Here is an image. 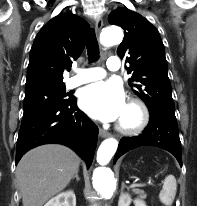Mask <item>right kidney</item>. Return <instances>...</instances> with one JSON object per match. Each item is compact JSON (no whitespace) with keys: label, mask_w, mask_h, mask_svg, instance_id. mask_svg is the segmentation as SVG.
I'll return each instance as SVG.
<instances>
[{"label":"right kidney","mask_w":197,"mask_h":206,"mask_svg":"<svg viewBox=\"0 0 197 206\" xmlns=\"http://www.w3.org/2000/svg\"><path fill=\"white\" fill-rule=\"evenodd\" d=\"M44 206H76V196L69 190L50 199Z\"/></svg>","instance_id":"obj_1"}]
</instances>
